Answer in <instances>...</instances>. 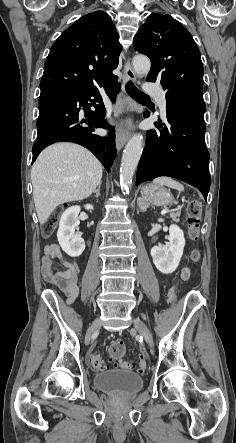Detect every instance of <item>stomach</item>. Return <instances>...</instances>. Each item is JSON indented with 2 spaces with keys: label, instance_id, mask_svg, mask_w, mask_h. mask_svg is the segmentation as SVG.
<instances>
[{
  "label": "stomach",
  "instance_id": "stomach-1",
  "mask_svg": "<svg viewBox=\"0 0 236 443\" xmlns=\"http://www.w3.org/2000/svg\"><path fill=\"white\" fill-rule=\"evenodd\" d=\"M142 197L156 206H167L174 202L172 194L157 184H148L141 189Z\"/></svg>",
  "mask_w": 236,
  "mask_h": 443
}]
</instances>
